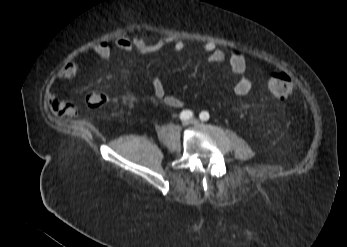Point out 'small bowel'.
Returning a JSON list of instances; mask_svg holds the SVG:
<instances>
[{"label":"small bowel","instance_id":"1","mask_svg":"<svg viewBox=\"0 0 347 247\" xmlns=\"http://www.w3.org/2000/svg\"><path fill=\"white\" fill-rule=\"evenodd\" d=\"M114 45L123 51H135L140 54L150 55L158 53L167 47H172L175 52H180L185 48V43L181 39L166 37L159 39H149L144 35L121 36L118 37ZM203 50L207 54L208 61L213 64L227 62L230 73L237 77L232 85V91L238 96L247 95L252 90V81L246 76L247 62L244 55L238 50L221 48L214 42L203 44ZM91 50L103 60H108L112 50L105 41L98 42L91 47ZM78 74V67L75 63L65 64L60 70V77L74 78ZM151 89L156 98L170 108H180L184 105L182 99L166 95L164 82L159 78L151 81ZM52 113L63 118H71L77 114V109L73 103L59 98H52L49 102Z\"/></svg>","mask_w":347,"mask_h":247}]
</instances>
